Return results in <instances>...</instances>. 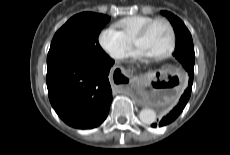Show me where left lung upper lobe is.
I'll use <instances>...</instances> for the list:
<instances>
[{
    "instance_id": "obj_1",
    "label": "left lung upper lobe",
    "mask_w": 230,
    "mask_h": 155,
    "mask_svg": "<svg viewBox=\"0 0 230 155\" xmlns=\"http://www.w3.org/2000/svg\"><path fill=\"white\" fill-rule=\"evenodd\" d=\"M163 15H165L173 25L174 31L176 33V48L173 55L175 58L179 60V62L183 65V62H190L194 64L195 61V54H194V47H193V41L192 36L185 26V24L182 22L181 19H179L174 14L168 12V11H161Z\"/></svg>"
}]
</instances>
